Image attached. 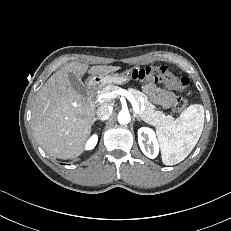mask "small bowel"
<instances>
[{"mask_svg":"<svg viewBox=\"0 0 231 231\" xmlns=\"http://www.w3.org/2000/svg\"><path fill=\"white\" fill-rule=\"evenodd\" d=\"M144 92L149 96L153 103L165 109L170 108L175 99V95L171 90L165 87H159L152 82L145 85Z\"/></svg>","mask_w":231,"mask_h":231,"instance_id":"1","label":"small bowel"}]
</instances>
